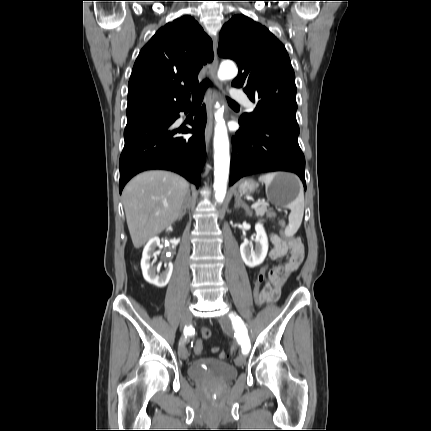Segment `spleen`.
Returning <instances> with one entry per match:
<instances>
[{
  "instance_id": "obj_1",
  "label": "spleen",
  "mask_w": 431,
  "mask_h": 431,
  "mask_svg": "<svg viewBox=\"0 0 431 431\" xmlns=\"http://www.w3.org/2000/svg\"><path fill=\"white\" fill-rule=\"evenodd\" d=\"M276 174L277 173H268L265 175H261L259 177V181L264 182L266 185H269L276 176ZM289 208L291 212L288 218L289 224L286 227L285 233L287 236H292L299 229L304 215V193L302 188L296 200L289 205Z\"/></svg>"
}]
</instances>
